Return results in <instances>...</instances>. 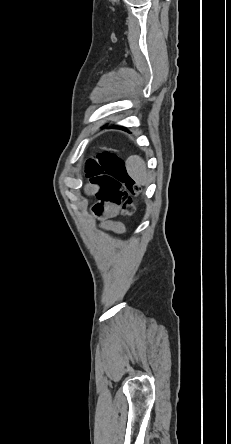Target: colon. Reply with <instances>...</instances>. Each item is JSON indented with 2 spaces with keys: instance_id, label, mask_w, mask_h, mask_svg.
Returning a JSON list of instances; mask_svg holds the SVG:
<instances>
[{
  "instance_id": "1",
  "label": "colon",
  "mask_w": 231,
  "mask_h": 444,
  "mask_svg": "<svg viewBox=\"0 0 231 444\" xmlns=\"http://www.w3.org/2000/svg\"><path fill=\"white\" fill-rule=\"evenodd\" d=\"M85 172L92 184L103 186L99 193L101 202L95 206L96 213L102 211L104 203H111L121 207L127 214H133V198L140 194L141 189L131 179L124 161L115 151L103 150L95 154L87 161Z\"/></svg>"
}]
</instances>
